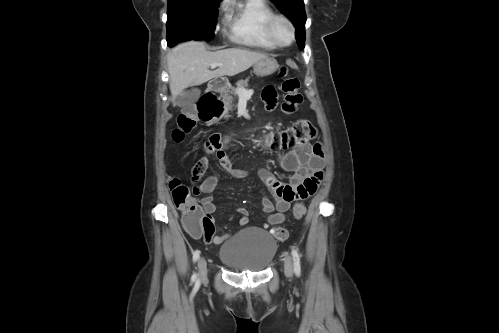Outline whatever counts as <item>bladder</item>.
Wrapping results in <instances>:
<instances>
[{"label":"bladder","instance_id":"obj_1","mask_svg":"<svg viewBox=\"0 0 499 333\" xmlns=\"http://www.w3.org/2000/svg\"><path fill=\"white\" fill-rule=\"evenodd\" d=\"M277 251L275 238L259 227L244 228L220 247L218 258L235 272H262Z\"/></svg>","mask_w":499,"mask_h":333}]
</instances>
